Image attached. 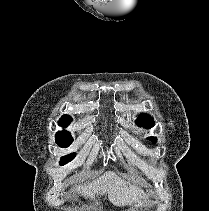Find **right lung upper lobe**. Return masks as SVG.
I'll list each match as a JSON object with an SVG mask.
<instances>
[{"label":"right lung upper lobe","mask_w":209,"mask_h":211,"mask_svg":"<svg viewBox=\"0 0 209 211\" xmlns=\"http://www.w3.org/2000/svg\"><path fill=\"white\" fill-rule=\"evenodd\" d=\"M72 121V118L69 115H63L61 119L59 120V125L66 127L70 122Z\"/></svg>","instance_id":"cb5924a9"}]
</instances>
